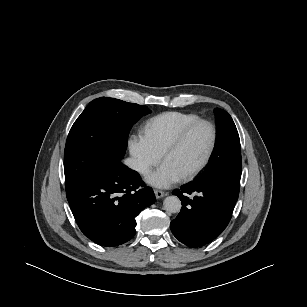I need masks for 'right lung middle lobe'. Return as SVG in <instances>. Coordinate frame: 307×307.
Returning a JSON list of instances; mask_svg holds the SVG:
<instances>
[{"label":"right lung middle lobe","instance_id":"1","mask_svg":"<svg viewBox=\"0 0 307 307\" xmlns=\"http://www.w3.org/2000/svg\"><path fill=\"white\" fill-rule=\"evenodd\" d=\"M150 110L143 105L100 97L74 122L64 152L66 192L99 175L124 157L132 125Z\"/></svg>","mask_w":307,"mask_h":307}]
</instances>
